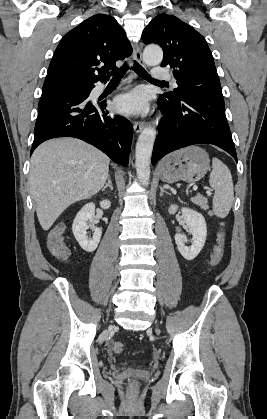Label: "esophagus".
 <instances>
[{
  "label": "esophagus",
  "mask_w": 267,
  "mask_h": 419,
  "mask_svg": "<svg viewBox=\"0 0 267 419\" xmlns=\"http://www.w3.org/2000/svg\"><path fill=\"white\" fill-rule=\"evenodd\" d=\"M134 58L138 63H140V64L143 63L141 47L139 45L136 46V49L134 51ZM133 127H134L135 132L139 133L144 128V123L143 122H135Z\"/></svg>",
  "instance_id": "34e87169"
}]
</instances>
